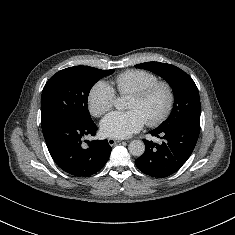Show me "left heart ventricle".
<instances>
[{"mask_svg":"<svg viewBox=\"0 0 235 235\" xmlns=\"http://www.w3.org/2000/svg\"><path fill=\"white\" fill-rule=\"evenodd\" d=\"M165 102V94L162 91H159L146 101L131 96L127 108L130 110H139L145 116L146 120H149L163 109Z\"/></svg>","mask_w":235,"mask_h":235,"instance_id":"1","label":"left heart ventricle"}]
</instances>
